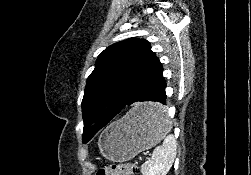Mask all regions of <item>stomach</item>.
Segmentation results:
<instances>
[{
	"label": "stomach",
	"mask_w": 251,
	"mask_h": 175,
	"mask_svg": "<svg viewBox=\"0 0 251 175\" xmlns=\"http://www.w3.org/2000/svg\"><path fill=\"white\" fill-rule=\"evenodd\" d=\"M155 100H140L124 117L112 121L102 131L98 145L101 155L110 161H129L137 153L153 147L172 134L166 114H152L153 111H168V106H153Z\"/></svg>",
	"instance_id": "stomach-1"
}]
</instances>
